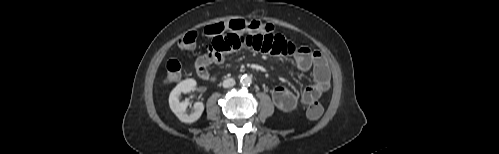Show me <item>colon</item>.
Here are the masks:
<instances>
[{
  "label": "colon",
  "instance_id": "obj_1",
  "mask_svg": "<svg viewBox=\"0 0 499 154\" xmlns=\"http://www.w3.org/2000/svg\"><path fill=\"white\" fill-rule=\"evenodd\" d=\"M226 31L243 32V31H253L262 33H273L274 27L265 22L257 20H244V19H233L227 22H218L208 25L204 28L205 35L209 37H215L225 33ZM197 40V33L194 31L186 33L180 40L179 46L183 50H190L194 48ZM182 66L181 63L176 59H171L166 64L165 79L168 82H174L181 77ZM323 113V107L319 102H312L307 108V116L316 120L321 117Z\"/></svg>",
  "mask_w": 499,
  "mask_h": 154
}]
</instances>
